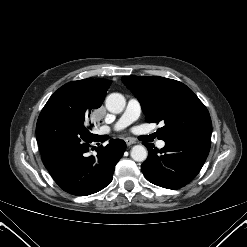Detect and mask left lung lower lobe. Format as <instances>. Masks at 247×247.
<instances>
[{"mask_svg":"<svg viewBox=\"0 0 247 247\" xmlns=\"http://www.w3.org/2000/svg\"><path fill=\"white\" fill-rule=\"evenodd\" d=\"M159 150L145 143L148 158L141 165L144 176L151 183L179 189L192 181L201 170L210 150V132H192L164 140Z\"/></svg>","mask_w":247,"mask_h":247,"instance_id":"left-lung-lower-lobe-1","label":"left lung lower lobe"}]
</instances>
